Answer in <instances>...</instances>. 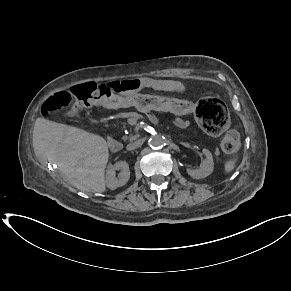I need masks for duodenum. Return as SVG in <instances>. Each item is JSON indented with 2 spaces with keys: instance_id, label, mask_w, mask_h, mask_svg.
Returning <instances> with one entry per match:
<instances>
[{
  "instance_id": "obj_1",
  "label": "duodenum",
  "mask_w": 291,
  "mask_h": 291,
  "mask_svg": "<svg viewBox=\"0 0 291 291\" xmlns=\"http://www.w3.org/2000/svg\"><path fill=\"white\" fill-rule=\"evenodd\" d=\"M109 142V147L113 153H118L120 149L122 148V143L117 140V137L114 134H111L108 137Z\"/></svg>"
}]
</instances>
